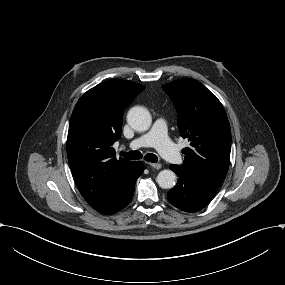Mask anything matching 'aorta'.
I'll use <instances>...</instances> for the list:
<instances>
[{"mask_svg":"<svg viewBox=\"0 0 285 285\" xmlns=\"http://www.w3.org/2000/svg\"><path fill=\"white\" fill-rule=\"evenodd\" d=\"M128 124L136 131H147L152 124V117L149 111L140 106L133 107L127 115ZM176 174L169 169L162 170L157 175V183L163 189H171L174 187Z\"/></svg>","mask_w":285,"mask_h":285,"instance_id":"aorta-1","label":"aorta"}]
</instances>
